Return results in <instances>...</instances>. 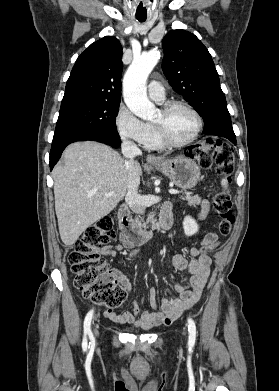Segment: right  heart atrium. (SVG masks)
<instances>
[{
	"label": "right heart atrium",
	"mask_w": 279,
	"mask_h": 391,
	"mask_svg": "<svg viewBox=\"0 0 279 391\" xmlns=\"http://www.w3.org/2000/svg\"><path fill=\"white\" fill-rule=\"evenodd\" d=\"M115 126L123 140L144 144L148 137V125L125 105H121L116 113Z\"/></svg>",
	"instance_id": "right-heart-atrium-1"
}]
</instances>
